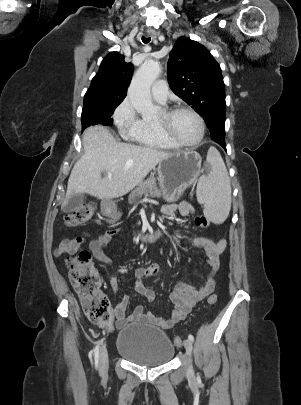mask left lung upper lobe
I'll return each instance as SVG.
<instances>
[{
    "instance_id": "left-lung-upper-lobe-1",
    "label": "left lung upper lobe",
    "mask_w": 301,
    "mask_h": 405,
    "mask_svg": "<svg viewBox=\"0 0 301 405\" xmlns=\"http://www.w3.org/2000/svg\"><path fill=\"white\" fill-rule=\"evenodd\" d=\"M168 78L173 92L205 120L211 138H225V85L220 65L201 44L177 40L170 52Z\"/></svg>"
}]
</instances>
